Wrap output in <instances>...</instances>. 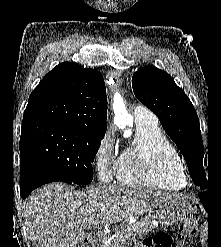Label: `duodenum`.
Segmentation results:
<instances>
[{"instance_id":"duodenum-1","label":"duodenum","mask_w":221,"mask_h":247,"mask_svg":"<svg viewBox=\"0 0 221 247\" xmlns=\"http://www.w3.org/2000/svg\"><path fill=\"white\" fill-rule=\"evenodd\" d=\"M88 244L94 246V247H98L99 243H100V234L96 231L91 232L88 237Z\"/></svg>"}]
</instances>
